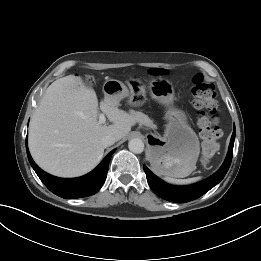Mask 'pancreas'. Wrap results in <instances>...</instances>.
<instances>
[{
    "mask_svg": "<svg viewBox=\"0 0 261 261\" xmlns=\"http://www.w3.org/2000/svg\"><path fill=\"white\" fill-rule=\"evenodd\" d=\"M131 113L142 124L147 125V126L153 125L152 120L147 115L143 114L142 112L131 111Z\"/></svg>",
    "mask_w": 261,
    "mask_h": 261,
    "instance_id": "obj_1",
    "label": "pancreas"
}]
</instances>
